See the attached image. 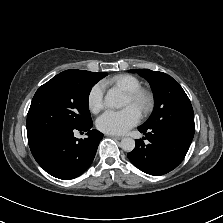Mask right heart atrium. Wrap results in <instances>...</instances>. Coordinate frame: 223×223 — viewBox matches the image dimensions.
Here are the masks:
<instances>
[{"label":"right heart atrium","mask_w":223,"mask_h":223,"mask_svg":"<svg viewBox=\"0 0 223 223\" xmlns=\"http://www.w3.org/2000/svg\"><path fill=\"white\" fill-rule=\"evenodd\" d=\"M105 85L101 82L94 84L87 96L88 108L91 112L97 113L104 107Z\"/></svg>","instance_id":"d8ad5b80"}]
</instances>
